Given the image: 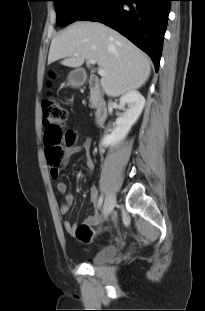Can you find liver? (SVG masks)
<instances>
[{"label": "liver", "instance_id": "liver-1", "mask_svg": "<svg viewBox=\"0 0 205 311\" xmlns=\"http://www.w3.org/2000/svg\"><path fill=\"white\" fill-rule=\"evenodd\" d=\"M59 59L72 68L94 59L106 72L100 84L111 97L142 87L151 73L150 59L144 52L99 22L77 21L57 35L50 45L48 64Z\"/></svg>", "mask_w": 205, "mask_h": 311}]
</instances>
